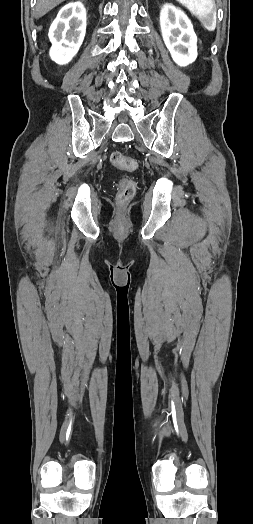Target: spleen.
Here are the masks:
<instances>
[{
    "instance_id": "obj_1",
    "label": "spleen",
    "mask_w": 253,
    "mask_h": 524,
    "mask_svg": "<svg viewBox=\"0 0 253 524\" xmlns=\"http://www.w3.org/2000/svg\"><path fill=\"white\" fill-rule=\"evenodd\" d=\"M196 16L203 27L208 31L216 28V16L214 15V0H177Z\"/></svg>"
}]
</instances>
